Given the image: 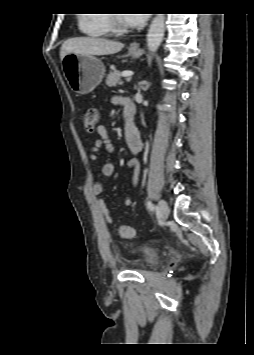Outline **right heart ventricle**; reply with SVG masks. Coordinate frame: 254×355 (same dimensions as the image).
Instances as JSON below:
<instances>
[{"label":"right heart ventricle","instance_id":"right-heart-ventricle-1","mask_svg":"<svg viewBox=\"0 0 254 355\" xmlns=\"http://www.w3.org/2000/svg\"><path fill=\"white\" fill-rule=\"evenodd\" d=\"M111 15L106 12L83 13L78 19L80 30L93 38H104L111 35Z\"/></svg>","mask_w":254,"mask_h":355}]
</instances>
